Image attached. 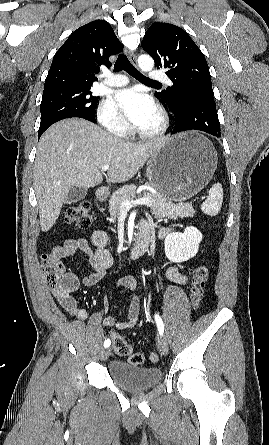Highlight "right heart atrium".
Masks as SVG:
<instances>
[{"label":"right heart atrium","mask_w":269,"mask_h":445,"mask_svg":"<svg viewBox=\"0 0 269 445\" xmlns=\"http://www.w3.org/2000/svg\"><path fill=\"white\" fill-rule=\"evenodd\" d=\"M100 125L117 136H126L130 132V124L111 99L101 102L97 110Z\"/></svg>","instance_id":"d8ad5b80"}]
</instances>
